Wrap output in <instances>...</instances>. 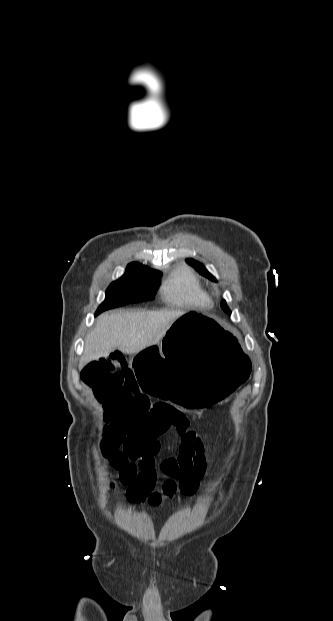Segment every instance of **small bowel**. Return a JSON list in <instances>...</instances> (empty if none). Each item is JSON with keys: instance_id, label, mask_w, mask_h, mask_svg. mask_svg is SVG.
<instances>
[{"instance_id": "c3829d8e", "label": "small bowel", "mask_w": 333, "mask_h": 621, "mask_svg": "<svg viewBox=\"0 0 333 621\" xmlns=\"http://www.w3.org/2000/svg\"><path fill=\"white\" fill-rule=\"evenodd\" d=\"M82 383L91 390L102 406L108 425L103 453L116 467H123L128 459H138L141 472L133 475L128 491L129 501L139 503L149 497L153 505L161 501V494L153 492L156 483L155 460L160 450L158 437L171 429L181 435L176 458L162 463L170 479L162 486V494L173 496L179 489L192 494L205 472L204 449L195 433L189 432L187 420L176 408L152 402L140 394L133 372L124 354L113 350L107 355L88 361L80 372ZM122 446V451L118 449ZM129 466L125 467L128 470Z\"/></svg>"}]
</instances>
